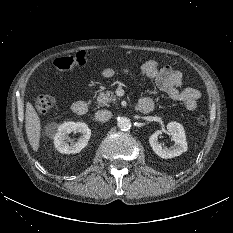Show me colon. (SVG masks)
<instances>
[{
  "instance_id": "colon-1",
  "label": "colon",
  "mask_w": 233,
  "mask_h": 233,
  "mask_svg": "<svg viewBox=\"0 0 233 233\" xmlns=\"http://www.w3.org/2000/svg\"><path fill=\"white\" fill-rule=\"evenodd\" d=\"M92 57L89 52H78L75 55L59 57L54 60L53 65L58 70H69L75 66L84 65L87 62L91 61ZM55 105V99L50 95H41L39 96L34 103L35 109L41 113H48ZM208 122L205 116H199L197 118V123L199 125H206Z\"/></svg>"
}]
</instances>
